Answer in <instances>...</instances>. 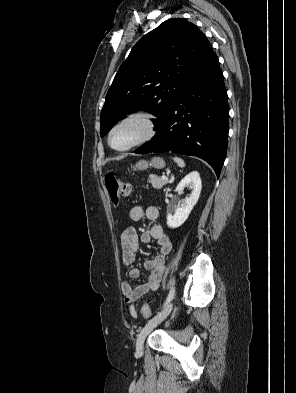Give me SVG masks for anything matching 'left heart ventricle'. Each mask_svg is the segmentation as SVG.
<instances>
[{"mask_svg": "<svg viewBox=\"0 0 296 393\" xmlns=\"http://www.w3.org/2000/svg\"><path fill=\"white\" fill-rule=\"evenodd\" d=\"M145 130V125L142 122L138 120L128 121L114 130L111 143L115 148H124L142 137Z\"/></svg>", "mask_w": 296, "mask_h": 393, "instance_id": "b2bd125f", "label": "left heart ventricle"}]
</instances>
